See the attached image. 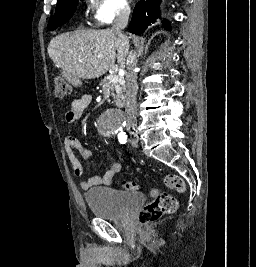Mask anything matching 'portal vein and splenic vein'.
Here are the masks:
<instances>
[{
  "label": "portal vein and splenic vein",
  "mask_w": 256,
  "mask_h": 267,
  "mask_svg": "<svg viewBox=\"0 0 256 267\" xmlns=\"http://www.w3.org/2000/svg\"><path fill=\"white\" fill-rule=\"evenodd\" d=\"M119 68L118 66H112L111 70H110V74H116V72H118ZM119 74V73H118ZM120 76V75H119Z\"/></svg>",
  "instance_id": "1"
}]
</instances>
